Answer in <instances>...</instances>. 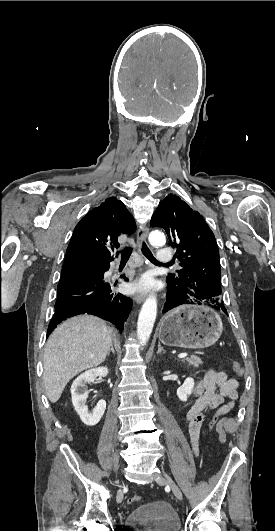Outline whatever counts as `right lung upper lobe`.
Here are the masks:
<instances>
[{
  "label": "right lung upper lobe",
  "instance_id": "right-lung-upper-lobe-1",
  "mask_svg": "<svg viewBox=\"0 0 275 531\" xmlns=\"http://www.w3.org/2000/svg\"><path fill=\"white\" fill-rule=\"evenodd\" d=\"M135 230L134 218L125 205L115 197L106 199L76 225L64 266L112 260L110 251L119 248L118 237L131 235Z\"/></svg>",
  "mask_w": 275,
  "mask_h": 531
}]
</instances>
